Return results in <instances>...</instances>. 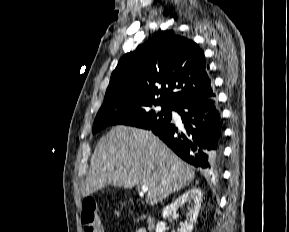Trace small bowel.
I'll return each mask as SVG.
<instances>
[{"instance_id": "obj_1", "label": "small bowel", "mask_w": 289, "mask_h": 232, "mask_svg": "<svg viewBox=\"0 0 289 232\" xmlns=\"http://www.w3.org/2000/svg\"><path fill=\"white\" fill-rule=\"evenodd\" d=\"M136 232H146V230L144 228H139L136 230Z\"/></svg>"}]
</instances>
